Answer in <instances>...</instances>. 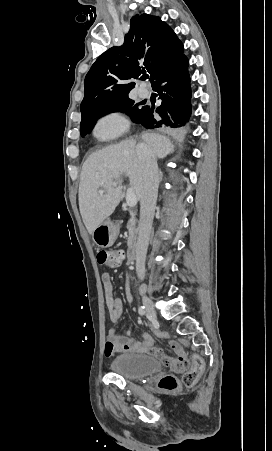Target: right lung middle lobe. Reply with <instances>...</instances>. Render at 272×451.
Masks as SVG:
<instances>
[{"label":"right lung middle lobe","mask_w":272,"mask_h":451,"mask_svg":"<svg viewBox=\"0 0 272 451\" xmlns=\"http://www.w3.org/2000/svg\"><path fill=\"white\" fill-rule=\"evenodd\" d=\"M144 111L145 107L139 109L138 104H135L134 100L130 98L115 100L90 108L81 113V136L88 134L92 130L97 119L109 112H124L128 114L134 122H138L141 119Z\"/></svg>","instance_id":"obj_1"}]
</instances>
